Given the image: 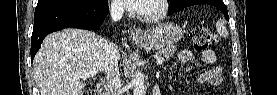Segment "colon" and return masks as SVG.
<instances>
[{
	"label": "colon",
	"instance_id": "obj_1",
	"mask_svg": "<svg viewBox=\"0 0 277 95\" xmlns=\"http://www.w3.org/2000/svg\"><path fill=\"white\" fill-rule=\"evenodd\" d=\"M191 39L193 47L197 51H206L208 48L215 44L218 40L217 36L210 30L203 26L194 27L191 31ZM83 95H95L92 90H86L82 93Z\"/></svg>",
	"mask_w": 277,
	"mask_h": 95
}]
</instances>
